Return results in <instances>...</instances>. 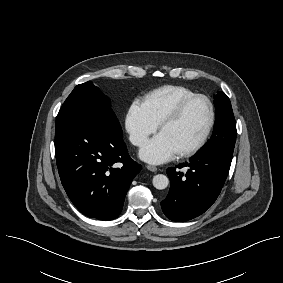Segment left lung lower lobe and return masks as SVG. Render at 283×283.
I'll use <instances>...</instances> for the list:
<instances>
[{
    "label": "left lung lower lobe",
    "instance_id": "left-lung-lower-lobe-1",
    "mask_svg": "<svg viewBox=\"0 0 283 283\" xmlns=\"http://www.w3.org/2000/svg\"><path fill=\"white\" fill-rule=\"evenodd\" d=\"M232 156L220 151H200L190 162L186 173L168 168L171 187L161 202L167 218L186 221L204 213L217 199L227 178Z\"/></svg>",
    "mask_w": 283,
    "mask_h": 283
}]
</instances>
